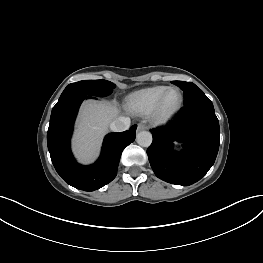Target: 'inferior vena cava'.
I'll use <instances>...</instances> for the list:
<instances>
[{"instance_id": "obj_1", "label": "inferior vena cava", "mask_w": 263, "mask_h": 263, "mask_svg": "<svg viewBox=\"0 0 263 263\" xmlns=\"http://www.w3.org/2000/svg\"><path fill=\"white\" fill-rule=\"evenodd\" d=\"M130 127V118L118 117L110 123V129L114 132H123Z\"/></svg>"}]
</instances>
